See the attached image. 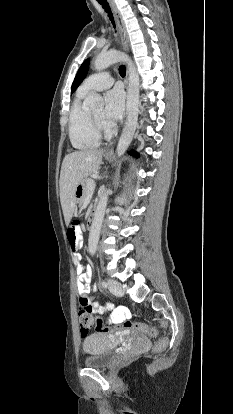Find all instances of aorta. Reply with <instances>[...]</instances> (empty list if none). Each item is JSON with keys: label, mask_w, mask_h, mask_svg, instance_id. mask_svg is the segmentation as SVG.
I'll return each instance as SVG.
<instances>
[{"label": "aorta", "mask_w": 233, "mask_h": 414, "mask_svg": "<svg viewBox=\"0 0 233 414\" xmlns=\"http://www.w3.org/2000/svg\"><path fill=\"white\" fill-rule=\"evenodd\" d=\"M125 62L128 66L129 70V84L127 89V119L125 122V126L122 132V135L119 139L117 145V154L118 156L123 155L126 150L128 149L138 121V112H139V87H140V80L139 75L137 73L136 67L132 60L124 53L111 50L106 53H100L97 55L94 61V67L97 71H101L106 69L110 65L117 63V62ZM85 104L90 107H101L104 104L103 98L101 95L97 93H91L85 99ZM108 202V191L105 192L97 205V208L94 213L90 233H89V240H88V247L89 253L94 255L97 249L100 230L106 210Z\"/></svg>", "instance_id": "obj_1"}]
</instances>
